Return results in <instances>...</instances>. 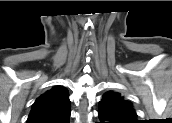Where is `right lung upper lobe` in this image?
I'll use <instances>...</instances> for the list:
<instances>
[{
  "mask_svg": "<svg viewBox=\"0 0 172 123\" xmlns=\"http://www.w3.org/2000/svg\"><path fill=\"white\" fill-rule=\"evenodd\" d=\"M70 100L66 88L55 86L36 99L27 123H69Z\"/></svg>",
  "mask_w": 172,
  "mask_h": 123,
  "instance_id": "obj_1",
  "label": "right lung upper lobe"
}]
</instances>
